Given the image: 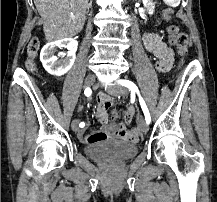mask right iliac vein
<instances>
[{
    "label": "right iliac vein",
    "instance_id": "obj_1",
    "mask_svg": "<svg viewBox=\"0 0 217 202\" xmlns=\"http://www.w3.org/2000/svg\"><path fill=\"white\" fill-rule=\"evenodd\" d=\"M95 82V77L93 75H88L86 78H85V81H84V86L85 87H90L94 84ZM78 123L79 121L77 119H74L71 123V128L73 131H78Z\"/></svg>",
    "mask_w": 217,
    "mask_h": 202
}]
</instances>
